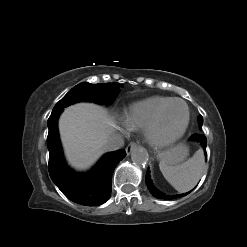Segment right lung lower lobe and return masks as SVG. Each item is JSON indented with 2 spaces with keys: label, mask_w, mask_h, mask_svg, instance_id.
Segmentation results:
<instances>
[{
  "label": "right lung lower lobe",
  "mask_w": 247,
  "mask_h": 247,
  "mask_svg": "<svg viewBox=\"0 0 247 247\" xmlns=\"http://www.w3.org/2000/svg\"><path fill=\"white\" fill-rule=\"evenodd\" d=\"M63 109H53L47 122L50 177L71 201L86 206L101 205L110 198L113 171L126 152L121 149L108 153L91 172L75 173L64 161L58 136L57 121Z\"/></svg>",
  "instance_id": "right-lung-lower-lobe-1"
}]
</instances>
